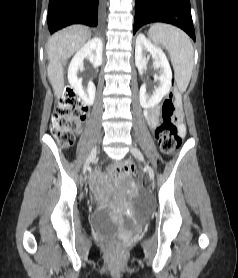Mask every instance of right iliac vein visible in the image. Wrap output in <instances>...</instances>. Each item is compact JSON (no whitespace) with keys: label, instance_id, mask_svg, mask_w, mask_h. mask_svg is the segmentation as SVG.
Returning a JSON list of instances; mask_svg holds the SVG:
<instances>
[{"label":"right iliac vein","instance_id":"63e3f726","mask_svg":"<svg viewBox=\"0 0 238 278\" xmlns=\"http://www.w3.org/2000/svg\"><path fill=\"white\" fill-rule=\"evenodd\" d=\"M96 153H97V147H93L91 149V151L89 152L86 160H85V163H84V166H83V171H82V174H85V171H87V168L90 164V162L95 158L96 156Z\"/></svg>","mask_w":238,"mask_h":278}]
</instances>
